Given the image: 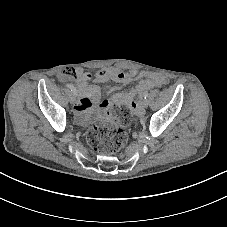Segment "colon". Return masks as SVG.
Returning a JSON list of instances; mask_svg holds the SVG:
<instances>
[{"label": "colon", "instance_id": "1", "mask_svg": "<svg viewBox=\"0 0 227 227\" xmlns=\"http://www.w3.org/2000/svg\"><path fill=\"white\" fill-rule=\"evenodd\" d=\"M68 79L76 77V70L67 67L62 72ZM130 119L129 111L119 110L115 118H106L92 125L87 132V140L98 153L112 155L120 150L127 141L126 125Z\"/></svg>", "mask_w": 227, "mask_h": 227}]
</instances>
